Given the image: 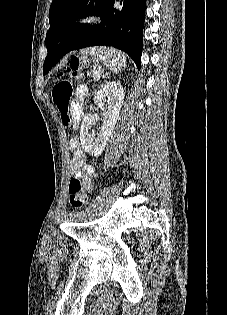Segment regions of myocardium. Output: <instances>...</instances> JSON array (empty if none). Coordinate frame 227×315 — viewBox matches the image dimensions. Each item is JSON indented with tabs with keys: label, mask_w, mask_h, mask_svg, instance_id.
Masks as SVG:
<instances>
[{
	"label": "myocardium",
	"mask_w": 227,
	"mask_h": 315,
	"mask_svg": "<svg viewBox=\"0 0 227 315\" xmlns=\"http://www.w3.org/2000/svg\"><path fill=\"white\" fill-rule=\"evenodd\" d=\"M93 20H94L93 17L88 16V15H83V16L78 17L75 23L79 27H86L90 25L93 22Z\"/></svg>",
	"instance_id": "f54148a6"
}]
</instances>
